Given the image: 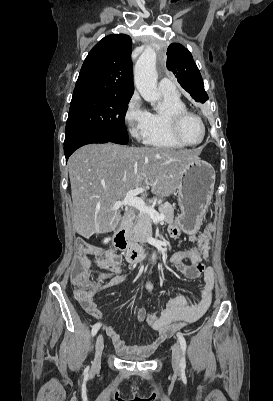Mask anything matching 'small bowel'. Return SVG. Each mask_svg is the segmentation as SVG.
<instances>
[{
  "label": "small bowel",
  "instance_id": "small-bowel-1",
  "mask_svg": "<svg viewBox=\"0 0 273 401\" xmlns=\"http://www.w3.org/2000/svg\"><path fill=\"white\" fill-rule=\"evenodd\" d=\"M206 221L211 223L213 218L208 216ZM211 231L212 225L207 226L203 231L193 236L196 243L195 247L178 250L168 260L184 277L190 280H199L202 283L198 298L192 300L188 295L178 293L166 301L160 314L148 313L144 308L138 310L137 319L146 322L155 335L153 342L144 345L129 344L112 326L102 323L103 330L119 353L148 355L154 344L163 345L164 338L172 335L183 326L197 321L208 310L214 295L215 274L211 266L203 264V260L207 258L208 250L211 247ZM171 234L173 237H180L182 231L180 228H173ZM84 252L90 253L88 261H94L101 268L114 274H120L123 270V257L112 248L96 247L84 243L80 245L79 256H83ZM89 278H95L93 284H85L84 290H75L74 298L76 303L81 304L90 316L101 321L104 318V311L95 300L96 294L102 292L99 291V287H104V291L118 284L128 286L130 281L126 277L107 281L91 274Z\"/></svg>",
  "mask_w": 273,
  "mask_h": 401
}]
</instances>
